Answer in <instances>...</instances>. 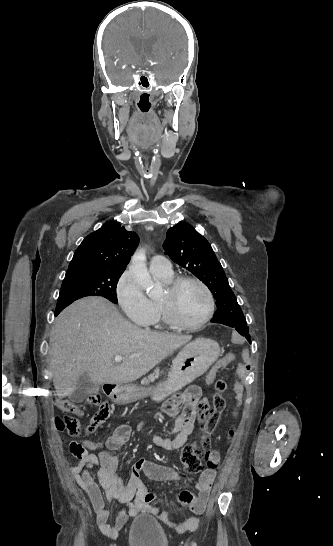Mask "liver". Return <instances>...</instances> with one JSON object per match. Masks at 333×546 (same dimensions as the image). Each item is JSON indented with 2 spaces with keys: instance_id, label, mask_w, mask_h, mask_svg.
Here are the masks:
<instances>
[{
  "instance_id": "6515ba94",
  "label": "liver",
  "mask_w": 333,
  "mask_h": 546,
  "mask_svg": "<svg viewBox=\"0 0 333 546\" xmlns=\"http://www.w3.org/2000/svg\"><path fill=\"white\" fill-rule=\"evenodd\" d=\"M191 339L142 330L104 298L80 299L55 320L49 351L54 387L72 393L84 373L96 385L130 383ZM116 355L122 363H114Z\"/></svg>"
}]
</instances>
